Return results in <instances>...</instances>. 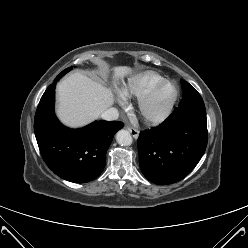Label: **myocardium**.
Wrapping results in <instances>:
<instances>
[{
	"label": "myocardium",
	"instance_id": "myocardium-1",
	"mask_svg": "<svg viewBox=\"0 0 248 248\" xmlns=\"http://www.w3.org/2000/svg\"><path fill=\"white\" fill-rule=\"evenodd\" d=\"M165 86H172L174 88V94L168 105L157 113H150L149 112V105L153 100L154 96L157 92L165 87ZM179 98V88L173 81L163 80L162 82L153 86L148 92L142 95L139 98L138 108L139 111L144 118V120L151 124H159L165 121L173 112L175 105Z\"/></svg>",
	"mask_w": 248,
	"mask_h": 248
}]
</instances>
